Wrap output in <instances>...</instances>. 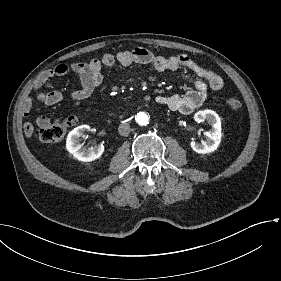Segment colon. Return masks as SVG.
<instances>
[{
    "label": "colon",
    "mask_w": 281,
    "mask_h": 281,
    "mask_svg": "<svg viewBox=\"0 0 281 281\" xmlns=\"http://www.w3.org/2000/svg\"><path fill=\"white\" fill-rule=\"evenodd\" d=\"M227 105L232 109H238L241 102L237 98H228ZM40 128L39 141L43 143H56L63 139L69 128V119L66 117L55 119Z\"/></svg>",
    "instance_id": "obj_1"
}]
</instances>
